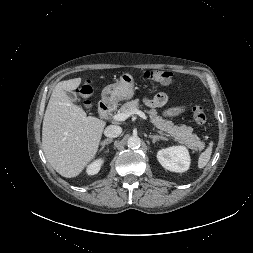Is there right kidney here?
Returning <instances> with one entry per match:
<instances>
[{
	"label": "right kidney",
	"instance_id": "right-kidney-1",
	"mask_svg": "<svg viewBox=\"0 0 253 253\" xmlns=\"http://www.w3.org/2000/svg\"><path fill=\"white\" fill-rule=\"evenodd\" d=\"M104 160L103 159H97L96 161H94L93 163H91L88 167H87V174L88 175H95L99 172L102 164H103Z\"/></svg>",
	"mask_w": 253,
	"mask_h": 253
}]
</instances>
